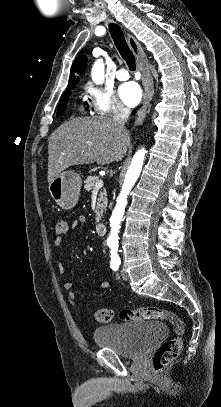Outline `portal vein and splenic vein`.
<instances>
[{"label": "portal vein and splenic vein", "instance_id": "obj_1", "mask_svg": "<svg viewBox=\"0 0 221 407\" xmlns=\"http://www.w3.org/2000/svg\"><path fill=\"white\" fill-rule=\"evenodd\" d=\"M103 186V180H98L96 183H95V185H94V189L96 190V189H99V188H101Z\"/></svg>", "mask_w": 221, "mask_h": 407}]
</instances>
